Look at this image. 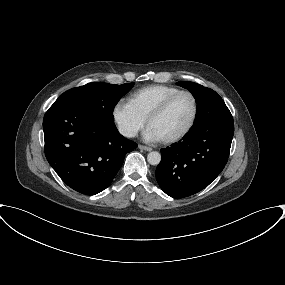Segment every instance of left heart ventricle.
Wrapping results in <instances>:
<instances>
[{
  "label": "left heart ventricle",
  "instance_id": "obj_1",
  "mask_svg": "<svg viewBox=\"0 0 285 285\" xmlns=\"http://www.w3.org/2000/svg\"><path fill=\"white\" fill-rule=\"evenodd\" d=\"M192 114V99L188 95H181L160 117L153 120L148 128L155 133L159 140H165L182 132L189 124Z\"/></svg>",
  "mask_w": 285,
  "mask_h": 285
}]
</instances>
